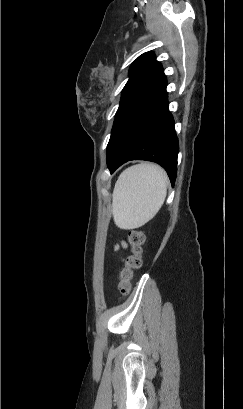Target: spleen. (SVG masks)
<instances>
[{"label": "spleen", "mask_w": 243, "mask_h": 409, "mask_svg": "<svg viewBox=\"0 0 243 409\" xmlns=\"http://www.w3.org/2000/svg\"><path fill=\"white\" fill-rule=\"evenodd\" d=\"M169 179L158 165L141 163L125 169L112 194L115 224L122 229H134L151 220L163 205Z\"/></svg>", "instance_id": "spleen-1"}]
</instances>
